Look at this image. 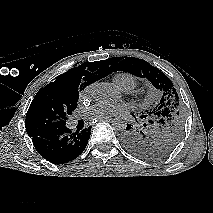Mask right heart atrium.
Here are the masks:
<instances>
[{"mask_svg": "<svg viewBox=\"0 0 213 213\" xmlns=\"http://www.w3.org/2000/svg\"><path fill=\"white\" fill-rule=\"evenodd\" d=\"M92 88H93L92 85L85 87L81 92V96L82 97H88L90 95L91 91H92Z\"/></svg>", "mask_w": 213, "mask_h": 213, "instance_id": "d8ad5b80", "label": "right heart atrium"}]
</instances>
